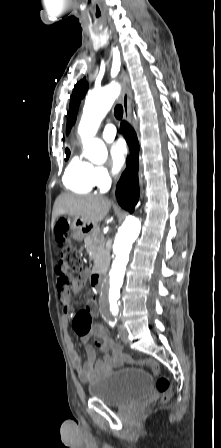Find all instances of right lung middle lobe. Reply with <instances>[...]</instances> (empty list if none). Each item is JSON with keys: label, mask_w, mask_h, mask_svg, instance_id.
<instances>
[{"label": "right lung middle lobe", "mask_w": 221, "mask_h": 448, "mask_svg": "<svg viewBox=\"0 0 221 448\" xmlns=\"http://www.w3.org/2000/svg\"><path fill=\"white\" fill-rule=\"evenodd\" d=\"M70 152H66V160L68 159Z\"/></svg>", "instance_id": "dd1d6c3e"}]
</instances>
